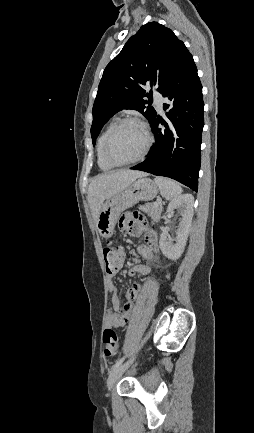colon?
Returning a JSON list of instances; mask_svg holds the SVG:
<instances>
[{"label": "colon", "instance_id": "obj_1", "mask_svg": "<svg viewBox=\"0 0 254 433\" xmlns=\"http://www.w3.org/2000/svg\"><path fill=\"white\" fill-rule=\"evenodd\" d=\"M133 219H140L138 214L132 215ZM123 256L122 249L114 244H107L103 248V258L108 273L116 272L121 264ZM104 355L114 356L120 346L117 332L112 327H107L103 333Z\"/></svg>", "mask_w": 254, "mask_h": 433}]
</instances>
